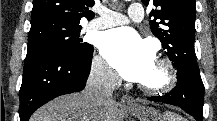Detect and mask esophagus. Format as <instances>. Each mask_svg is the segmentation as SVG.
I'll use <instances>...</instances> for the list:
<instances>
[{"label": "esophagus", "mask_w": 217, "mask_h": 121, "mask_svg": "<svg viewBox=\"0 0 217 121\" xmlns=\"http://www.w3.org/2000/svg\"><path fill=\"white\" fill-rule=\"evenodd\" d=\"M121 102L123 104L127 105V106L136 105L135 100L131 96L127 95V94L122 95Z\"/></svg>", "instance_id": "obj_1"}]
</instances>
